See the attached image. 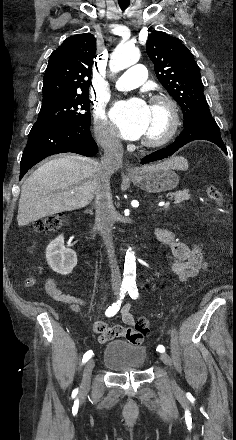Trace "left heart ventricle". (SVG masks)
I'll return each instance as SVG.
<instances>
[{
  "label": "left heart ventricle",
  "mask_w": 236,
  "mask_h": 440,
  "mask_svg": "<svg viewBox=\"0 0 236 440\" xmlns=\"http://www.w3.org/2000/svg\"><path fill=\"white\" fill-rule=\"evenodd\" d=\"M168 124V114L164 106L155 105L150 107V119L144 138L158 137L166 129Z\"/></svg>",
  "instance_id": "b2bd125f"
}]
</instances>
